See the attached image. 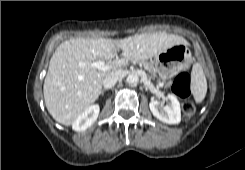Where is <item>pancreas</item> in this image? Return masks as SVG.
I'll return each mask as SVG.
<instances>
[{
	"instance_id": "obj_1",
	"label": "pancreas",
	"mask_w": 245,
	"mask_h": 170,
	"mask_svg": "<svg viewBox=\"0 0 245 170\" xmlns=\"http://www.w3.org/2000/svg\"><path fill=\"white\" fill-rule=\"evenodd\" d=\"M139 64H141L150 74V78H154L156 76V70L153 64L146 60H136Z\"/></svg>"
}]
</instances>
